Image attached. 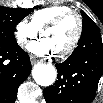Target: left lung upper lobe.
Instances as JSON below:
<instances>
[{"instance_id": "5c2ea615", "label": "left lung upper lobe", "mask_w": 103, "mask_h": 103, "mask_svg": "<svg viewBox=\"0 0 103 103\" xmlns=\"http://www.w3.org/2000/svg\"><path fill=\"white\" fill-rule=\"evenodd\" d=\"M83 17V29L82 32H85L89 29L97 28L98 26L92 21V19L83 11H81Z\"/></svg>"}]
</instances>
